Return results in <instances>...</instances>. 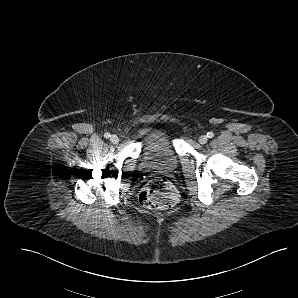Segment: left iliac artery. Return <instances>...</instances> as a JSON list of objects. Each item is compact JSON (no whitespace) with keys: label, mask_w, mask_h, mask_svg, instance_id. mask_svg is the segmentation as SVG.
<instances>
[{"label":"left iliac artery","mask_w":298,"mask_h":298,"mask_svg":"<svg viewBox=\"0 0 298 298\" xmlns=\"http://www.w3.org/2000/svg\"><path fill=\"white\" fill-rule=\"evenodd\" d=\"M207 137H208V138H212V137H214V133H213V132H208V133H207Z\"/></svg>","instance_id":"obj_1"}]
</instances>
